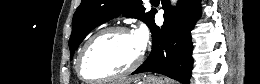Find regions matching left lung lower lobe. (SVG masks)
I'll return each instance as SVG.
<instances>
[{"label": "left lung lower lobe", "mask_w": 260, "mask_h": 84, "mask_svg": "<svg viewBox=\"0 0 260 84\" xmlns=\"http://www.w3.org/2000/svg\"><path fill=\"white\" fill-rule=\"evenodd\" d=\"M161 2L165 11L164 23L158 27L153 17L149 27L152 51L133 74L155 72L189 84L193 67L190 32L200 16V0H179L174 8L167 0Z\"/></svg>", "instance_id": "obj_1"}]
</instances>
